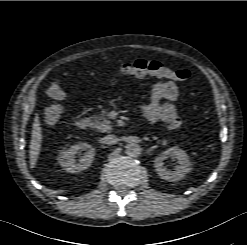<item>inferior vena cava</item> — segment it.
Masks as SVG:
<instances>
[{"instance_id": "obj_1", "label": "inferior vena cava", "mask_w": 247, "mask_h": 245, "mask_svg": "<svg viewBox=\"0 0 247 245\" xmlns=\"http://www.w3.org/2000/svg\"><path fill=\"white\" fill-rule=\"evenodd\" d=\"M119 141V139L114 135H107L103 138V142L108 145H114Z\"/></svg>"}]
</instances>
